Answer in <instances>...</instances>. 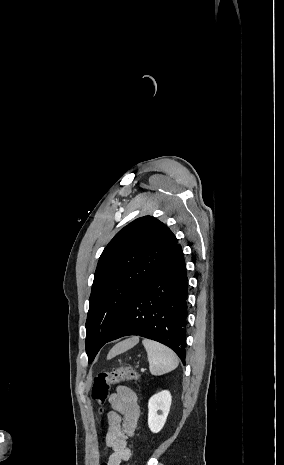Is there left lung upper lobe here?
Wrapping results in <instances>:
<instances>
[{"label":"left lung upper lobe","mask_w":284,"mask_h":465,"mask_svg":"<svg viewBox=\"0 0 284 465\" xmlns=\"http://www.w3.org/2000/svg\"><path fill=\"white\" fill-rule=\"evenodd\" d=\"M177 245L162 222L144 216L121 229L102 252L94 275L86 320L91 363L114 331L131 299Z\"/></svg>","instance_id":"5c2ea615"}]
</instances>
